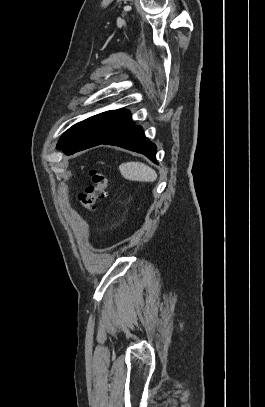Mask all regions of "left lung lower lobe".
I'll return each instance as SVG.
<instances>
[{
	"label": "left lung lower lobe",
	"mask_w": 265,
	"mask_h": 407,
	"mask_svg": "<svg viewBox=\"0 0 265 407\" xmlns=\"http://www.w3.org/2000/svg\"><path fill=\"white\" fill-rule=\"evenodd\" d=\"M100 144L106 145H115L119 146L134 152L141 153L147 156L151 161L157 163L156 161V145L152 143L148 138L145 137L144 131L141 126L132 124L128 128L124 129L123 131L117 133L113 137L109 138L108 140L97 143L93 146H97ZM90 146V147H93ZM90 147H81V148H72L67 149L63 148L62 150L67 154H73L75 152L90 148Z\"/></svg>",
	"instance_id": "0a47b994"
}]
</instances>
